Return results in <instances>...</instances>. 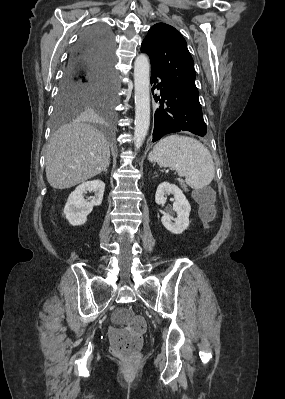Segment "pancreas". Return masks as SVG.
<instances>
[{
	"label": "pancreas",
	"mask_w": 285,
	"mask_h": 399,
	"mask_svg": "<svg viewBox=\"0 0 285 399\" xmlns=\"http://www.w3.org/2000/svg\"><path fill=\"white\" fill-rule=\"evenodd\" d=\"M179 182H180L181 187H183V188L186 187V185H185V183L183 182V180H179Z\"/></svg>",
	"instance_id": "cf45deb5"
}]
</instances>
